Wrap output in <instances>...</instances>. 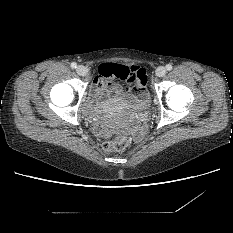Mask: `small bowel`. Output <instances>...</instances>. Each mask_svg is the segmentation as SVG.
Wrapping results in <instances>:
<instances>
[{"instance_id":"c3829d8e","label":"small bowel","mask_w":233,"mask_h":233,"mask_svg":"<svg viewBox=\"0 0 233 233\" xmlns=\"http://www.w3.org/2000/svg\"><path fill=\"white\" fill-rule=\"evenodd\" d=\"M117 67H124L128 71L129 76L136 79L138 90L141 96L144 95L146 92V75L144 68L139 65L126 66L112 62H101L98 67L99 74L95 77L91 88V97L88 101L89 107H93L95 104L100 103L104 95L124 97L130 102L137 100V96L134 93L130 91L125 92L121 85L114 82V71ZM93 127L95 133L101 134V123L99 121H95Z\"/></svg>"}]
</instances>
